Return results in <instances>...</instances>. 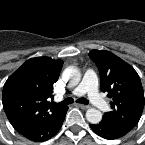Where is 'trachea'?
Listing matches in <instances>:
<instances>
[{"label":"trachea","instance_id":"1","mask_svg":"<svg viewBox=\"0 0 145 145\" xmlns=\"http://www.w3.org/2000/svg\"><path fill=\"white\" fill-rule=\"evenodd\" d=\"M77 103L88 105L89 101L86 98H78L76 100ZM74 103V100L70 97L64 99L62 102H60V105H68Z\"/></svg>","mask_w":145,"mask_h":145}]
</instances>
